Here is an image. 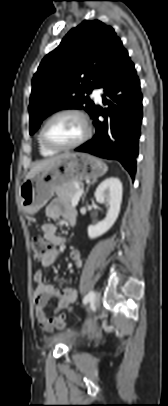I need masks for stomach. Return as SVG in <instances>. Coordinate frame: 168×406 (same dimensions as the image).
I'll use <instances>...</instances> for the list:
<instances>
[{"instance_id": "obj_1", "label": "stomach", "mask_w": 168, "mask_h": 406, "mask_svg": "<svg viewBox=\"0 0 168 406\" xmlns=\"http://www.w3.org/2000/svg\"><path fill=\"white\" fill-rule=\"evenodd\" d=\"M53 167L26 178L19 191L21 207L27 214H35L54 192L67 185L86 179H97L107 172V166L98 158L85 153H66Z\"/></svg>"}]
</instances>
